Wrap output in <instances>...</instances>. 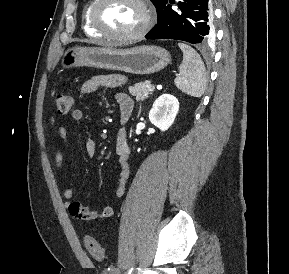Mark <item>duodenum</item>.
Returning a JSON list of instances; mask_svg holds the SVG:
<instances>
[{
    "label": "duodenum",
    "mask_w": 289,
    "mask_h": 274,
    "mask_svg": "<svg viewBox=\"0 0 289 274\" xmlns=\"http://www.w3.org/2000/svg\"><path fill=\"white\" fill-rule=\"evenodd\" d=\"M129 117H130L129 112L124 111V112L121 114L122 122H126V121L128 120Z\"/></svg>",
    "instance_id": "410a0bca"
}]
</instances>
